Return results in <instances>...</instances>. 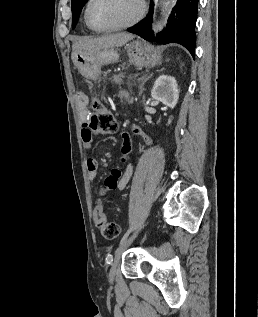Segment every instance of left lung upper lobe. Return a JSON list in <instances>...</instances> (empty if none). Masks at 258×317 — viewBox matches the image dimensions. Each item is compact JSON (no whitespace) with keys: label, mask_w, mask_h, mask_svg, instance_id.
<instances>
[{"label":"left lung upper lobe","mask_w":258,"mask_h":317,"mask_svg":"<svg viewBox=\"0 0 258 317\" xmlns=\"http://www.w3.org/2000/svg\"><path fill=\"white\" fill-rule=\"evenodd\" d=\"M86 2L87 0H71L72 15H73L72 28L76 26L81 10Z\"/></svg>","instance_id":"obj_1"}]
</instances>
